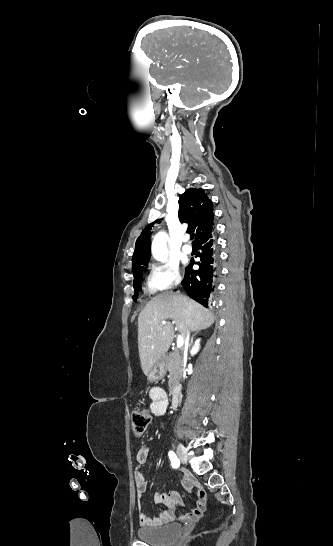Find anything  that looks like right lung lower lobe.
I'll return each instance as SVG.
<instances>
[{
    "mask_svg": "<svg viewBox=\"0 0 333 546\" xmlns=\"http://www.w3.org/2000/svg\"><path fill=\"white\" fill-rule=\"evenodd\" d=\"M201 252L199 262L192 259L185 268V277L182 285L187 294L209 308L212 306V299L216 287V278L218 274V258L215 241L213 239V226L204 232L195 240ZM199 265L198 270H193V264Z\"/></svg>",
    "mask_w": 333,
    "mask_h": 546,
    "instance_id": "98d812e1",
    "label": "right lung lower lobe"
}]
</instances>
